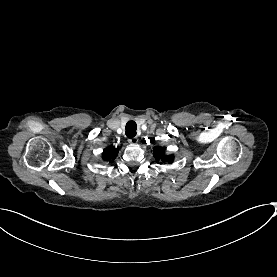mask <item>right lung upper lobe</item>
I'll return each mask as SVG.
<instances>
[{
  "label": "right lung upper lobe",
  "mask_w": 277,
  "mask_h": 277,
  "mask_svg": "<svg viewBox=\"0 0 277 277\" xmlns=\"http://www.w3.org/2000/svg\"><path fill=\"white\" fill-rule=\"evenodd\" d=\"M117 153H118V149L114 147H107L106 149H104L102 153V158L104 161H111L116 158Z\"/></svg>",
  "instance_id": "obj_1"
}]
</instances>
